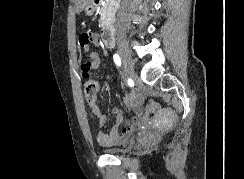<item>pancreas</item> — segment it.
Masks as SVG:
<instances>
[{
  "instance_id": "cf45deb5",
  "label": "pancreas",
  "mask_w": 244,
  "mask_h": 179,
  "mask_svg": "<svg viewBox=\"0 0 244 179\" xmlns=\"http://www.w3.org/2000/svg\"><path fill=\"white\" fill-rule=\"evenodd\" d=\"M110 0L109 2H106V4H104L103 8H101V20H105V18H107V14L109 12V10H111L110 8Z\"/></svg>"
}]
</instances>
